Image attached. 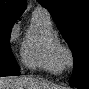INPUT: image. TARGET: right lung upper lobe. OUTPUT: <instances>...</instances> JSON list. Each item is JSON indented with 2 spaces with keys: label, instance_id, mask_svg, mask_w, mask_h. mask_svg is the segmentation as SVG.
<instances>
[{
  "label": "right lung upper lobe",
  "instance_id": "1",
  "mask_svg": "<svg viewBox=\"0 0 89 89\" xmlns=\"http://www.w3.org/2000/svg\"><path fill=\"white\" fill-rule=\"evenodd\" d=\"M26 8V0H0V16L18 19Z\"/></svg>",
  "mask_w": 89,
  "mask_h": 89
}]
</instances>
